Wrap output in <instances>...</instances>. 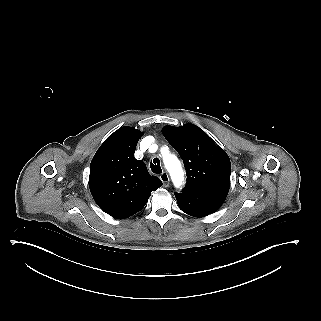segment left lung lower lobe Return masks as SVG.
<instances>
[{
    "label": "left lung lower lobe",
    "mask_w": 321,
    "mask_h": 321,
    "mask_svg": "<svg viewBox=\"0 0 321 321\" xmlns=\"http://www.w3.org/2000/svg\"><path fill=\"white\" fill-rule=\"evenodd\" d=\"M229 189L183 190L175 193L179 208L193 217H204L218 210L224 203Z\"/></svg>",
    "instance_id": "left-lung-lower-lobe-1"
}]
</instances>
